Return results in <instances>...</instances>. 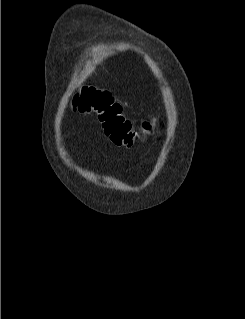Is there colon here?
<instances>
[{"label":"colon","mask_w":245,"mask_h":319,"mask_svg":"<svg viewBox=\"0 0 245 319\" xmlns=\"http://www.w3.org/2000/svg\"><path fill=\"white\" fill-rule=\"evenodd\" d=\"M74 110L79 113L94 114L105 136L118 146H132L136 140L149 135L154 128V121H143L139 128L122 114L121 105L112 95L93 86H84L78 90L74 99Z\"/></svg>","instance_id":"5ec220e1"}]
</instances>
